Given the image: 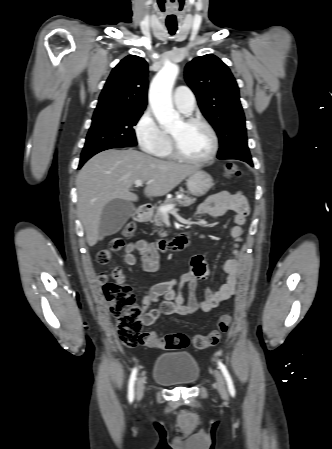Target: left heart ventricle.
Returning <instances> with one entry per match:
<instances>
[{
	"label": "left heart ventricle",
	"mask_w": 332,
	"mask_h": 449,
	"mask_svg": "<svg viewBox=\"0 0 332 449\" xmlns=\"http://www.w3.org/2000/svg\"><path fill=\"white\" fill-rule=\"evenodd\" d=\"M181 151L190 157H204L211 149L208 131L199 124H184L180 120L169 132Z\"/></svg>",
	"instance_id": "1"
}]
</instances>
